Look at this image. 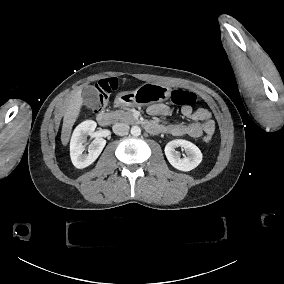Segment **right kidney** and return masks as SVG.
Returning <instances> with one entry per match:
<instances>
[{"label": "right kidney", "mask_w": 284, "mask_h": 284, "mask_svg": "<svg viewBox=\"0 0 284 284\" xmlns=\"http://www.w3.org/2000/svg\"><path fill=\"white\" fill-rule=\"evenodd\" d=\"M97 124L93 120H86L80 123L74 130L70 141V157L76 168L82 169L92 164L102 152L106 145V140L96 138L90 144L88 153H83L85 148L83 143L88 135H92Z\"/></svg>", "instance_id": "1"}]
</instances>
